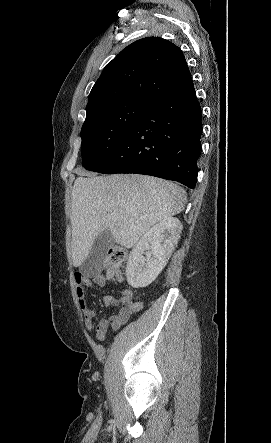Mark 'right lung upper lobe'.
<instances>
[{"label": "right lung upper lobe", "mask_w": 271, "mask_h": 443, "mask_svg": "<svg viewBox=\"0 0 271 443\" xmlns=\"http://www.w3.org/2000/svg\"><path fill=\"white\" fill-rule=\"evenodd\" d=\"M192 85L179 47L159 37L143 38L127 46L106 65L89 94L86 118L105 103L125 99L152 103Z\"/></svg>", "instance_id": "right-lung-upper-lobe-1"}]
</instances>
